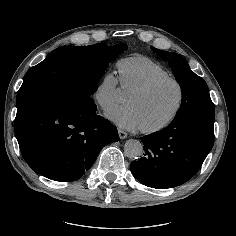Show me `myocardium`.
Returning a JSON list of instances; mask_svg holds the SVG:
<instances>
[{"label": "myocardium", "mask_w": 236, "mask_h": 236, "mask_svg": "<svg viewBox=\"0 0 236 236\" xmlns=\"http://www.w3.org/2000/svg\"><path fill=\"white\" fill-rule=\"evenodd\" d=\"M166 83H173L179 92V99H178V103L174 109V111L172 112V114L165 119L163 122L153 126V127H140L141 132L145 133V134H154L157 132H160L164 129H166L168 126H170L178 117V115L180 114L183 105H184V101H185V90L184 87L182 85V83L174 78V77H165V78H159L156 79L152 82H150L149 84L145 85L144 87H141L139 89H136L134 91H132L130 94L136 95V96H145L148 95L149 93H151L152 91H154L156 88L160 87L163 84Z\"/></svg>", "instance_id": "obj_1"}]
</instances>
